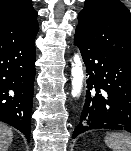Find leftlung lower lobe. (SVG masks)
Listing matches in <instances>:
<instances>
[{"label":"left lung lower lobe","instance_id":"left-lung-lower-lobe-1","mask_svg":"<svg viewBox=\"0 0 131 151\" xmlns=\"http://www.w3.org/2000/svg\"><path fill=\"white\" fill-rule=\"evenodd\" d=\"M86 65L87 93L73 138L90 130L131 132V61L74 35Z\"/></svg>","mask_w":131,"mask_h":151}]
</instances>
